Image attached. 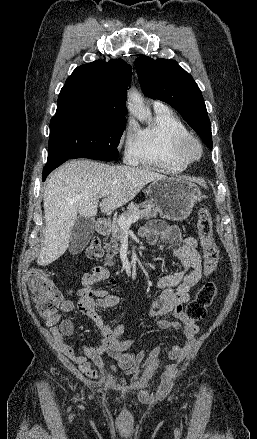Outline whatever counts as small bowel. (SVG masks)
Segmentation results:
<instances>
[{
	"label": "small bowel",
	"mask_w": 257,
	"mask_h": 439,
	"mask_svg": "<svg viewBox=\"0 0 257 439\" xmlns=\"http://www.w3.org/2000/svg\"><path fill=\"white\" fill-rule=\"evenodd\" d=\"M140 236L152 246L160 241L172 245L171 254L182 265L180 271L166 274L158 279L156 286L161 293L157 299L152 301L148 312L150 316L171 314L177 321L161 318L158 326L162 329L181 330L184 336L183 342L174 345L168 352V358L174 362L167 365L164 371V379L168 381L172 378L177 363L183 360L195 342L198 327L195 323L185 320L183 305L190 298L191 288L204 276L202 257L197 250L198 241L195 237L182 235L177 226L169 225L164 221L149 222L140 229ZM101 282L114 284L109 271L103 266H94L82 277L78 309L93 320L100 332L101 341L99 344L90 346L78 345L80 353L66 339L75 332L74 322L61 317L62 314L72 312L75 309V303L56 292L59 313L48 317L46 322L51 327L62 351L91 379L99 378V372L105 371L122 372L125 375H135L140 371L147 374L154 373L160 364L161 346L154 348L147 358H145L143 348L131 351L134 342L120 338L123 326L120 323H105L98 312V310L114 308L120 303L118 296L96 288V285ZM104 355L114 358L116 364L107 366L103 359ZM90 361L93 362L95 368Z\"/></svg>",
	"instance_id": "small-bowel-1"
}]
</instances>
